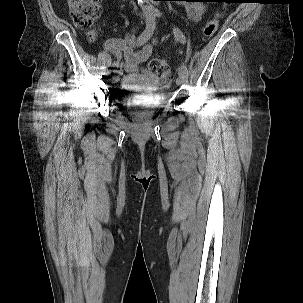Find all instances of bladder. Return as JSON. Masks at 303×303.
<instances>
[{
    "label": "bladder",
    "instance_id": "obj_1",
    "mask_svg": "<svg viewBox=\"0 0 303 303\" xmlns=\"http://www.w3.org/2000/svg\"><path fill=\"white\" fill-rule=\"evenodd\" d=\"M137 105H133L132 107H135ZM160 105L153 106V107H144L142 106V110L140 111H132L131 115L134 118H142L146 115H151L154 113V111L159 107Z\"/></svg>",
    "mask_w": 303,
    "mask_h": 303
}]
</instances>
